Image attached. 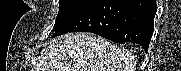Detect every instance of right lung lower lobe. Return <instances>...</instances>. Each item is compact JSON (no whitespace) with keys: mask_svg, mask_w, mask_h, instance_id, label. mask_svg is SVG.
<instances>
[{"mask_svg":"<svg viewBox=\"0 0 181 71\" xmlns=\"http://www.w3.org/2000/svg\"><path fill=\"white\" fill-rule=\"evenodd\" d=\"M156 0H94L53 37L92 32L117 43H137L148 51L154 30Z\"/></svg>","mask_w":181,"mask_h":71,"instance_id":"98d812e1","label":"right lung lower lobe"}]
</instances>
